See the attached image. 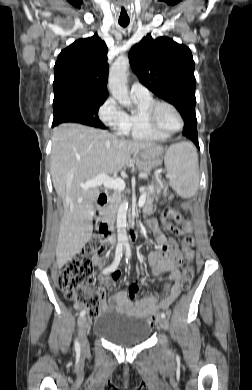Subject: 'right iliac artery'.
Wrapping results in <instances>:
<instances>
[{
	"mask_svg": "<svg viewBox=\"0 0 252 390\" xmlns=\"http://www.w3.org/2000/svg\"><path fill=\"white\" fill-rule=\"evenodd\" d=\"M122 251H123V246L118 245L116 248L115 259L109 267H107L106 269L103 270L104 274H109L117 269V267L119 266L120 260L122 258ZM84 315H85V311L83 310L80 312V317L82 318V317H84ZM74 346H75L76 351H80V344H79L77 339L75 340Z\"/></svg>",
	"mask_w": 252,
	"mask_h": 390,
	"instance_id": "82829eb1",
	"label": "right iliac artery"
}]
</instances>
